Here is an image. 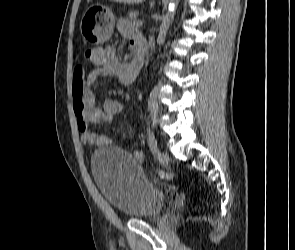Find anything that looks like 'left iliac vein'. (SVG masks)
Wrapping results in <instances>:
<instances>
[{"label":"left iliac vein","instance_id":"4c4485c4","mask_svg":"<svg viewBox=\"0 0 295 250\" xmlns=\"http://www.w3.org/2000/svg\"><path fill=\"white\" fill-rule=\"evenodd\" d=\"M156 155H157V157L160 158L163 162H165L166 159H167V155H166V153H164L163 151H161V150H159V149H157Z\"/></svg>","mask_w":295,"mask_h":250}]
</instances>
